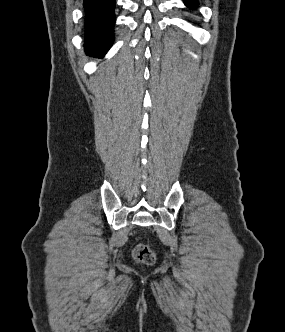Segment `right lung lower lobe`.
Masks as SVG:
<instances>
[{
  "label": "right lung lower lobe",
  "instance_id": "1",
  "mask_svg": "<svg viewBox=\"0 0 285 332\" xmlns=\"http://www.w3.org/2000/svg\"><path fill=\"white\" fill-rule=\"evenodd\" d=\"M115 0H84L87 54L100 57L113 42Z\"/></svg>",
  "mask_w": 285,
  "mask_h": 332
}]
</instances>
